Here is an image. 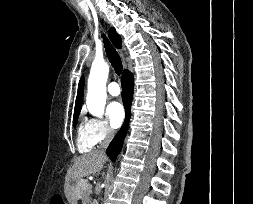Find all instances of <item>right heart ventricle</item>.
<instances>
[{
	"instance_id": "right-heart-ventricle-1",
	"label": "right heart ventricle",
	"mask_w": 253,
	"mask_h": 204,
	"mask_svg": "<svg viewBox=\"0 0 253 204\" xmlns=\"http://www.w3.org/2000/svg\"><path fill=\"white\" fill-rule=\"evenodd\" d=\"M77 147L80 152H88L95 146L94 141L91 138L88 123L81 122L77 129Z\"/></svg>"
}]
</instances>
